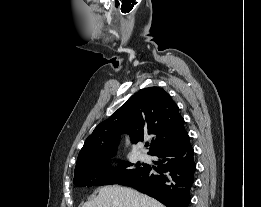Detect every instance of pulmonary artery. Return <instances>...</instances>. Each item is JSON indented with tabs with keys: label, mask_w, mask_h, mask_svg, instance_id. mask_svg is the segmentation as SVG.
Segmentation results:
<instances>
[{
	"label": "pulmonary artery",
	"mask_w": 261,
	"mask_h": 207,
	"mask_svg": "<svg viewBox=\"0 0 261 207\" xmlns=\"http://www.w3.org/2000/svg\"><path fill=\"white\" fill-rule=\"evenodd\" d=\"M141 160H148V156L145 154L140 155Z\"/></svg>",
	"instance_id": "obj_1"
}]
</instances>
